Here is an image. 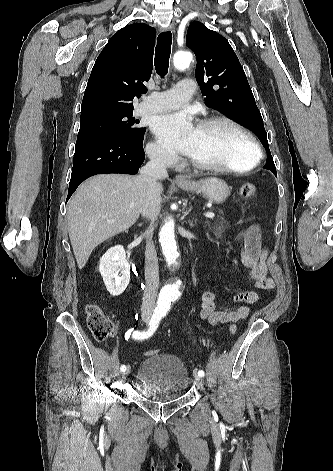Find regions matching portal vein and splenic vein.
<instances>
[{"label":"portal vein and splenic vein","mask_w":333,"mask_h":471,"mask_svg":"<svg viewBox=\"0 0 333 471\" xmlns=\"http://www.w3.org/2000/svg\"><path fill=\"white\" fill-rule=\"evenodd\" d=\"M204 216H205L206 218H210V219H211V218H214V217H215V214H214L213 212H207V213L204 214ZM110 222H113V221H110Z\"/></svg>","instance_id":"18ae733b"}]
</instances>
